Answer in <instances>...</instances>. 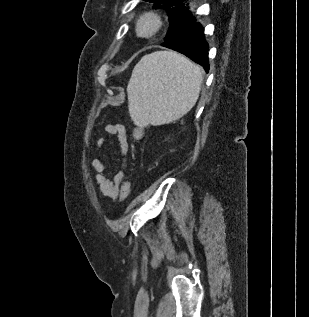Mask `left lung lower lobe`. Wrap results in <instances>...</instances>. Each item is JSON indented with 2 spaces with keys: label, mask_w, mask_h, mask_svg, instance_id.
I'll list each match as a JSON object with an SVG mask.
<instances>
[{
  "label": "left lung lower lobe",
  "mask_w": 309,
  "mask_h": 317,
  "mask_svg": "<svg viewBox=\"0 0 309 317\" xmlns=\"http://www.w3.org/2000/svg\"><path fill=\"white\" fill-rule=\"evenodd\" d=\"M164 47L178 51L209 71V46L205 40L204 28L195 17H192L187 26L169 40L161 44Z\"/></svg>",
  "instance_id": "left-lung-lower-lobe-1"
}]
</instances>
